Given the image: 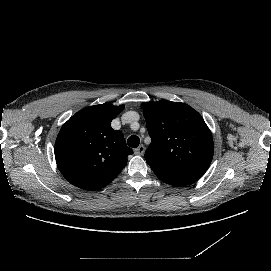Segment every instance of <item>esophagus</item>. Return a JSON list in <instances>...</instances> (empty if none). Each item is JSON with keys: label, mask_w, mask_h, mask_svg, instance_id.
I'll list each match as a JSON object with an SVG mask.
<instances>
[{"label": "esophagus", "mask_w": 271, "mask_h": 271, "mask_svg": "<svg viewBox=\"0 0 271 271\" xmlns=\"http://www.w3.org/2000/svg\"><path fill=\"white\" fill-rule=\"evenodd\" d=\"M145 152V146L144 145H139L136 149H134V154L142 156Z\"/></svg>", "instance_id": "1"}]
</instances>
